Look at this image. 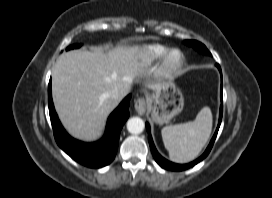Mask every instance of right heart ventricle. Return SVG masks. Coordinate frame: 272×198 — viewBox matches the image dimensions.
Returning a JSON list of instances; mask_svg holds the SVG:
<instances>
[{
	"label": "right heart ventricle",
	"mask_w": 272,
	"mask_h": 198,
	"mask_svg": "<svg viewBox=\"0 0 272 198\" xmlns=\"http://www.w3.org/2000/svg\"><path fill=\"white\" fill-rule=\"evenodd\" d=\"M168 50L167 46L161 44H149L138 50L137 57L142 64L149 65L162 59Z\"/></svg>",
	"instance_id": "right-heart-ventricle-1"
}]
</instances>
